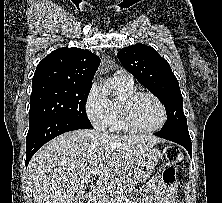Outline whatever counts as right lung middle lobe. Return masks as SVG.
Masks as SVG:
<instances>
[{"mask_svg": "<svg viewBox=\"0 0 222 203\" xmlns=\"http://www.w3.org/2000/svg\"><path fill=\"white\" fill-rule=\"evenodd\" d=\"M92 86H53L32 90L29 122L47 117L90 122L85 104Z\"/></svg>", "mask_w": 222, "mask_h": 203, "instance_id": "1", "label": "right lung middle lobe"}]
</instances>
